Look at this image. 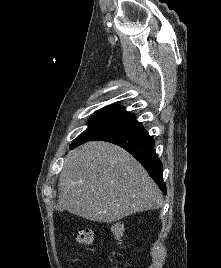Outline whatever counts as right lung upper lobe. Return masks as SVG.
<instances>
[{
    "instance_id": "right-lung-upper-lobe-1",
    "label": "right lung upper lobe",
    "mask_w": 221,
    "mask_h": 268,
    "mask_svg": "<svg viewBox=\"0 0 221 268\" xmlns=\"http://www.w3.org/2000/svg\"><path fill=\"white\" fill-rule=\"evenodd\" d=\"M99 111L101 112H106V113H110V114H113V115H116V116H120V117H123L126 119L127 122H130V121H134L135 120V117L129 115L125 108L123 106H119V105H116V106H108V107H105L104 109H100Z\"/></svg>"
}]
</instances>
